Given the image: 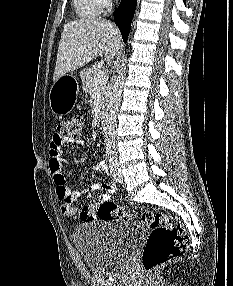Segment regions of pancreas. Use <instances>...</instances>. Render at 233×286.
I'll use <instances>...</instances> for the list:
<instances>
[{"instance_id":"1","label":"pancreas","mask_w":233,"mask_h":286,"mask_svg":"<svg viewBox=\"0 0 233 286\" xmlns=\"http://www.w3.org/2000/svg\"><path fill=\"white\" fill-rule=\"evenodd\" d=\"M100 71L97 67H89L85 68L80 72V77L83 82V89L88 92L92 93V90L95 86L94 77ZM98 89L100 92V102L103 103L105 100V91H106V80L104 79L103 82L98 83Z\"/></svg>"}]
</instances>
